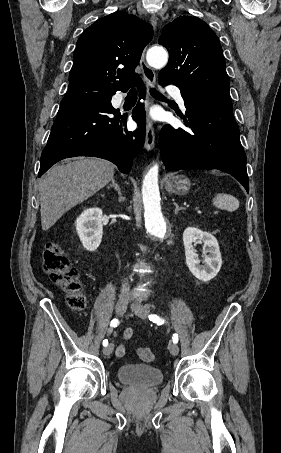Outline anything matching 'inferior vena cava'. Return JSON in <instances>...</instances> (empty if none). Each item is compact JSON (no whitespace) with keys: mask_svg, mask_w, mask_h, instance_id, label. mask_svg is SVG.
<instances>
[{"mask_svg":"<svg viewBox=\"0 0 281 453\" xmlns=\"http://www.w3.org/2000/svg\"><path fill=\"white\" fill-rule=\"evenodd\" d=\"M120 301H129V287H128V281L125 279L123 281V285L121 287L120 295H119Z\"/></svg>","mask_w":281,"mask_h":453,"instance_id":"602c4592","label":"inferior vena cava"}]
</instances>
